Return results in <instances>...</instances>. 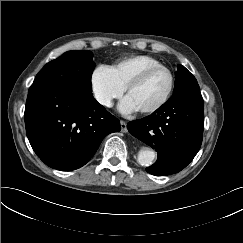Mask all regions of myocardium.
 I'll return each instance as SVG.
<instances>
[{
    "label": "myocardium",
    "instance_id": "myocardium-1",
    "mask_svg": "<svg viewBox=\"0 0 243 243\" xmlns=\"http://www.w3.org/2000/svg\"><path fill=\"white\" fill-rule=\"evenodd\" d=\"M158 69H162V70L166 71L169 75L170 81H169V86H168L167 92L164 95V97L155 105H153L149 108H146V109L138 110V112L141 114H152V113L158 111L161 107H163L169 101V99L173 93L174 85H175V79H174V75H173L172 71L168 67H166L165 65H162V64H157V65L147 67V68L143 69L142 71H140L137 75H135L124 89L125 97H127V95L134 88H136L138 85L141 84V82L146 78V76L148 74H150L152 71L158 70Z\"/></svg>",
    "mask_w": 243,
    "mask_h": 243
}]
</instances>
